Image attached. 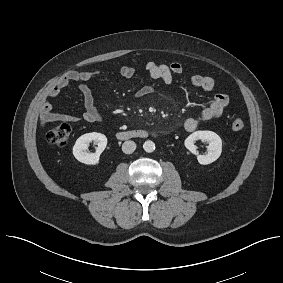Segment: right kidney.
Here are the masks:
<instances>
[{
	"mask_svg": "<svg viewBox=\"0 0 283 283\" xmlns=\"http://www.w3.org/2000/svg\"><path fill=\"white\" fill-rule=\"evenodd\" d=\"M95 141L98 147L95 153H87L89 143ZM107 146V137L104 134L92 132L80 136L73 146V155L81 163L96 165L99 163L100 154Z\"/></svg>",
	"mask_w": 283,
	"mask_h": 283,
	"instance_id": "obj_1",
	"label": "right kidney"
}]
</instances>
